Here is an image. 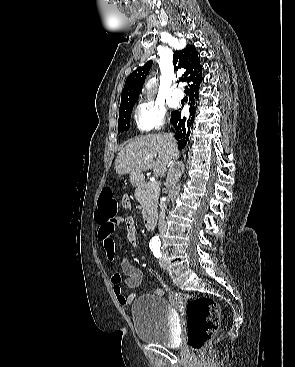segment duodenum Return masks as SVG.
Listing matches in <instances>:
<instances>
[{
  "label": "duodenum",
  "instance_id": "duodenum-1",
  "mask_svg": "<svg viewBox=\"0 0 295 367\" xmlns=\"http://www.w3.org/2000/svg\"><path fill=\"white\" fill-rule=\"evenodd\" d=\"M156 222V215L154 214H148L144 217V226L147 229H152Z\"/></svg>",
  "mask_w": 295,
  "mask_h": 367
}]
</instances>
